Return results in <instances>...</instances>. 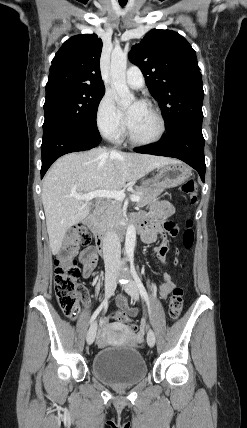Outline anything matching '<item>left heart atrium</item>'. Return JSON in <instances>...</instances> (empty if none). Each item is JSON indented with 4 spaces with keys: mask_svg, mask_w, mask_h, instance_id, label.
Masks as SVG:
<instances>
[{
    "mask_svg": "<svg viewBox=\"0 0 247 428\" xmlns=\"http://www.w3.org/2000/svg\"><path fill=\"white\" fill-rule=\"evenodd\" d=\"M141 106H142V103L136 102L134 106L129 111L126 112L125 120L127 125H129L130 122L133 120V118L135 117L136 113L139 111Z\"/></svg>",
    "mask_w": 247,
    "mask_h": 428,
    "instance_id": "39dd6f15",
    "label": "left heart atrium"
}]
</instances>
